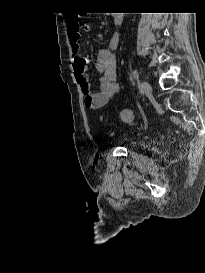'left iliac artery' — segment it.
I'll list each match as a JSON object with an SVG mask.
<instances>
[{
  "label": "left iliac artery",
  "mask_w": 205,
  "mask_h": 273,
  "mask_svg": "<svg viewBox=\"0 0 205 273\" xmlns=\"http://www.w3.org/2000/svg\"><path fill=\"white\" fill-rule=\"evenodd\" d=\"M133 77H134L135 80H139V72L137 71V69H134Z\"/></svg>",
  "instance_id": "1"
}]
</instances>
